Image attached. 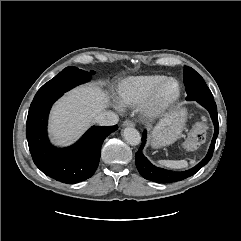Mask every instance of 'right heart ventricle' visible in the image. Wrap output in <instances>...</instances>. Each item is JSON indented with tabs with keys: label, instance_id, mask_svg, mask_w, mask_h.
Segmentation results:
<instances>
[{
	"label": "right heart ventricle",
	"instance_id": "obj_1",
	"mask_svg": "<svg viewBox=\"0 0 241 241\" xmlns=\"http://www.w3.org/2000/svg\"><path fill=\"white\" fill-rule=\"evenodd\" d=\"M166 78L160 74L129 77L121 81L116 89L118 102L125 107L142 104L156 85Z\"/></svg>",
	"mask_w": 241,
	"mask_h": 241
}]
</instances>
